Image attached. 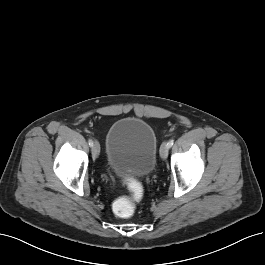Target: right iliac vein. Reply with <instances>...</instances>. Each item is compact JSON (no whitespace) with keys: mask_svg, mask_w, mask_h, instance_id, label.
I'll list each match as a JSON object with an SVG mask.
<instances>
[{"mask_svg":"<svg viewBox=\"0 0 265 265\" xmlns=\"http://www.w3.org/2000/svg\"><path fill=\"white\" fill-rule=\"evenodd\" d=\"M99 153H100V145L97 141H95L93 143V146H92V156L93 158H97L99 156Z\"/></svg>","mask_w":265,"mask_h":265,"instance_id":"right-iliac-vein-1","label":"right iliac vein"}]
</instances>
